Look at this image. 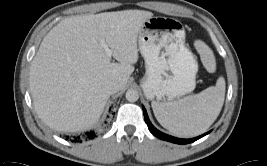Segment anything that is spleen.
I'll list each match as a JSON object with an SVG mask.
<instances>
[{
    "instance_id": "1",
    "label": "spleen",
    "mask_w": 267,
    "mask_h": 166,
    "mask_svg": "<svg viewBox=\"0 0 267 166\" xmlns=\"http://www.w3.org/2000/svg\"><path fill=\"white\" fill-rule=\"evenodd\" d=\"M203 50L202 54H206ZM225 98V80L220 77L216 86L177 101L152 102L157 121L169 132L180 137H192L205 132L217 119Z\"/></svg>"
}]
</instances>
